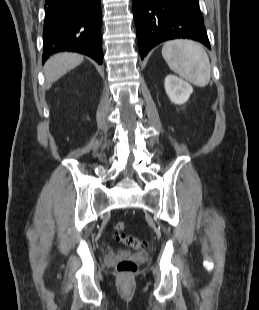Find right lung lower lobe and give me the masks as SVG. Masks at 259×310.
I'll return each mask as SVG.
<instances>
[{
    "mask_svg": "<svg viewBox=\"0 0 259 310\" xmlns=\"http://www.w3.org/2000/svg\"><path fill=\"white\" fill-rule=\"evenodd\" d=\"M100 0H46L43 63L60 51L79 52L103 63Z\"/></svg>",
    "mask_w": 259,
    "mask_h": 310,
    "instance_id": "obj_1",
    "label": "right lung lower lobe"
}]
</instances>
